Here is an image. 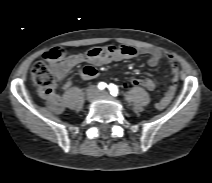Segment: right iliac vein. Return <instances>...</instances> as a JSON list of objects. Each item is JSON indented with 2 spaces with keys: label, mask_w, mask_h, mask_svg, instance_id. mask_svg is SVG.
Returning <instances> with one entry per match:
<instances>
[{
  "label": "right iliac vein",
  "mask_w": 212,
  "mask_h": 183,
  "mask_svg": "<svg viewBox=\"0 0 212 183\" xmlns=\"http://www.w3.org/2000/svg\"><path fill=\"white\" fill-rule=\"evenodd\" d=\"M97 92L96 91H90L89 93H88V96H87V99L89 100V101H92V100H94L96 97H97Z\"/></svg>",
  "instance_id": "1"
}]
</instances>
